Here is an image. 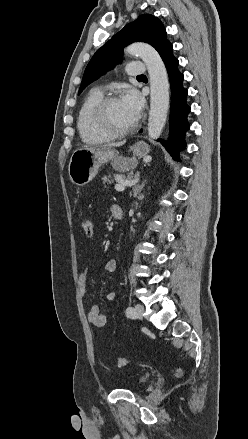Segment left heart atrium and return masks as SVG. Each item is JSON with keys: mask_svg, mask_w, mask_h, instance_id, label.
I'll return each instance as SVG.
<instances>
[{"mask_svg": "<svg viewBox=\"0 0 248 439\" xmlns=\"http://www.w3.org/2000/svg\"><path fill=\"white\" fill-rule=\"evenodd\" d=\"M123 105L128 110L132 118L136 121L143 111L144 101L139 93L133 89H129L121 99Z\"/></svg>", "mask_w": 248, "mask_h": 439, "instance_id": "obj_1", "label": "left heart atrium"}]
</instances>
